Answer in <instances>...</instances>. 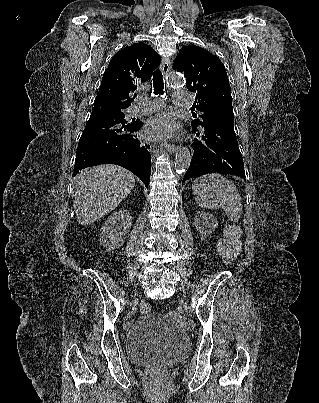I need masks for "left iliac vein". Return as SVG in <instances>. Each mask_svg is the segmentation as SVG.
Listing matches in <instances>:
<instances>
[{
	"label": "left iliac vein",
	"mask_w": 319,
	"mask_h": 403,
	"mask_svg": "<svg viewBox=\"0 0 319 403\" xmlns=\"http://www.w3.org/2000/svg\"><path fill=\"white\" fill-rule=\"evenodd\" d=\"M180 302L183 305V307L188 311L187 303L184 300H181Z\"/></svg>",
	"instance_id": "1"
}]
</instances>
